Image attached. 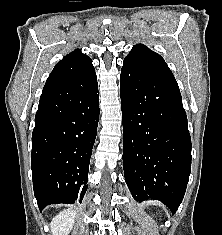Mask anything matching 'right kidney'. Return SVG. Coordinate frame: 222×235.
I'll return each mask as SVG.
<instances>
[{
  "mask_svg": "<svg viewBox=\"0 0 222 235\" xmlns=\"http://www.w3.org/2000/svg\"><path fill=\"white\" fill-rule=\"evenodd\" d=\"M75 215L74 210L67 209L55 216L50 224L52 235H68L73 228Z\"/></svg>",
  "mask_w": 222,
  "mask_h": 235,
  "instance_id": "right-kidney-1",
  "label": "right kidney"
}]
</instances>
